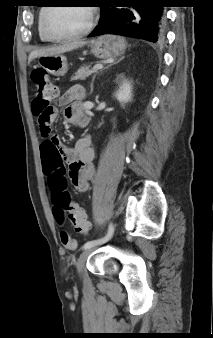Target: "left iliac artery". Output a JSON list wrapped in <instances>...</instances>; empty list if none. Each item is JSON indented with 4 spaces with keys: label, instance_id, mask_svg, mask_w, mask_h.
Instances as JSON below:
<instances>
[{
    "label": "left iliac artery",
    "instance_id": "44dca946",
    "mask_svg": "<svg viewBox=\"0 0 213 338\" xmlns=\"http://www.w3.org/2000/svg\"><path fill=\"white\" fill-rule=\"evenodd\" d=\"M113 232H114V226L110 224L108 232L105 237L98 239V240L88 241L87 243L84 244L83 250L89 249L91 247H94L95 245H99V244L109 241L113 236Z\"/></svg>",
    "mask_w": 213,
    "mask_h": 338
}]
</instances>
